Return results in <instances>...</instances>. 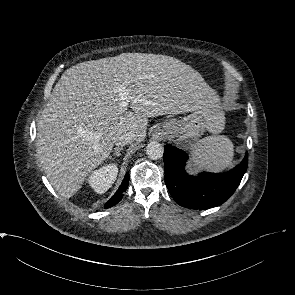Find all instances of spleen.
Returning <instances> with one entry per match:
<instances>
[{"instance_id":"3e777b00","label":"spleen","mask_w":295,"mask_h":295,"mask_svg":"<svg viewBox=\"0 0 295 295\" xmlns=\"http://www.w3.org/2000/svg\"><path fill=\"white\" fill-rule=\"evenodd\" d=\"M194 163L210 171H221L232 165L234 145L223 135L205 137L190 147Z\"/></svg>"}]
</instances>
